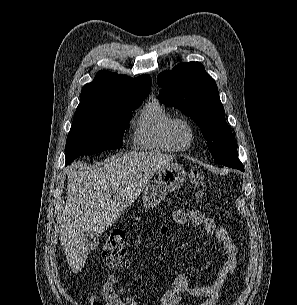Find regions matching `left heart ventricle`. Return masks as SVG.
Segmentation results:
<instances>
[{"mask_svg": "<svg viewBox=\"0 0 297 305\" xmlns=\"http://www.w3.org/2000/svg\"><path fill=\"white\" fill-rule=\"evenodd\" d=\"M177 133H178L179 138L182 141L186 140L188 132H187V129L184 126L180 125L177 129Z\"/></svg>", "mask_w": 297, "mask_h": 305, "instance_id": "left-heart-ventricle-1", "label": "left heart ventricle"}]
</instances>
